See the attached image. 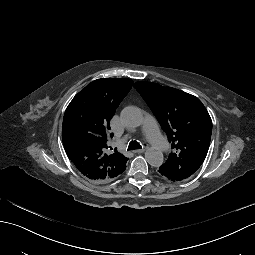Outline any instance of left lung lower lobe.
<instances>
[{
    "label": "left lung lower lobe",
    "instance_id": "obj_1",
    "mask_svg": "<svg viewBox=\"0 0 255 255\" xmlns=\"http://www.w3.org/2000/svg\"><path fill=\"white\" fill-rule=\"evenodd\" d=\"M159 173L162 177H166L167 179H170V180H173V177H170L169 175L167 174H164V172H162V170H159Z\"/></svg>",
    "mask_w": 255,
    "mask_h": 255
}]
</instances>
